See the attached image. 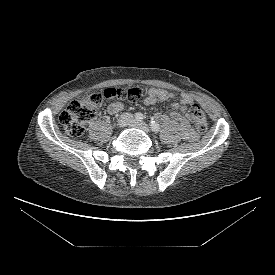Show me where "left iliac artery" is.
Returning a JSON list of instances; mask_svg holds the SVG:
<instances>
[{
	"mask_svg": "<svg viewBox=\"0 0 275 275\" xmlns=\"http://www.w3.org/2000/svg\"><path fill=\"white\" fill-rule=\"evenodd\" d=\"M150 127H151L152 131H154V132H158L160 130V125L156 121H151Z\"/></svg>",
	"mask_w": 275,
	"mask_h": 275,
	"instance_id": "obj_1",
	"label": "left iliac artery"
}]
</instances>
